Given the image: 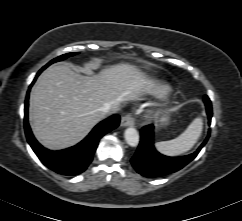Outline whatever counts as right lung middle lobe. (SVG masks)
<instances>
[{"label": "right lung middle lobe", "instance_id": "1", "mask_svg": "<svg viewBox=\"0 0 242 221\" xmlns=\"http://www.w3.org/2000/svg\"><path fill=\"white\" fill-rule=\"evenodd\" d=\"M75 54H77V53H67V54L61 55V56L55 58L54 60L50 61L45 67H43V69H45L47 66H49L50 64H52L54 62L64 60V59H66V58H68L70 56H73Z\"/></svg>", "mask_w": 242, "mask_h": 221}]
</instances>
